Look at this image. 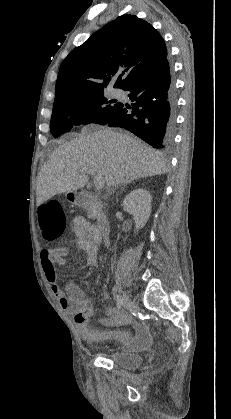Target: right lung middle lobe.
<instances>
[{"instance_id":"1","label":"right lung middle lobe","mask_w":231,"mask_h":419,"mask_svg":"<svg viewBox=\"0 0 231 419\" xmlns=\"http://www.w3.org/2000/svg\"><path fill=\"white\" fill-rule=\"evenodd\" d=\"M105 91L58 101L53 105L50 130L56 138L75 125L103 122L117 110L120 102L109 101Z\"/></svg>"}]
</instances>
